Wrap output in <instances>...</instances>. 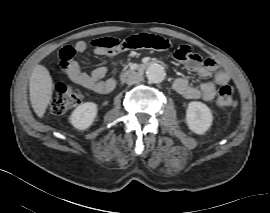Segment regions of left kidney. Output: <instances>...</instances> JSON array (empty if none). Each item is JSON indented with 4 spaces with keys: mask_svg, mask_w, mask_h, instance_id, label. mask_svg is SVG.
Returning <instances> with one entry per match:
<instances>
[{
    "mask_svg": "<svg viewBox=\"0 0 270 213\" xmlns=\"http://www.w3.org/2000/svg\"><path fill=\"white\" fill-rule=\"evenodd\" d=\"M213 116L209 107L198 101L188 104L186 123L189 129L196 134H204L212 125Z\"/></svg>",
    "mask_w": 270,
    "mask_h": 213,
    "instance_id": "obj_1",
    "label": "left kidney"
}]
</instances>
